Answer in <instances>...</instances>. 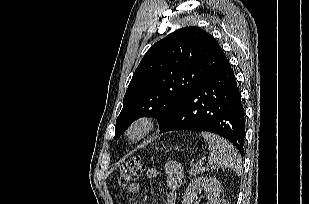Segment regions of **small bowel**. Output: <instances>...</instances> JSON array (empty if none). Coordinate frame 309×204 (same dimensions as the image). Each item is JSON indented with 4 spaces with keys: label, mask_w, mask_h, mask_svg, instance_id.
<instances>
[{
    "label": "small bowel",
    "mask_w": 309,
    "mask_h": 204,
    "mask_svg": "<svg viewBox=\"0 0 309 204\" xmlns=\"http://www.w3.org/2000/svg\"><path fill=\"white\" fill-rule=\"evenodd\" d=\"M166 175H167L166 184L168 189L170 190V193L166 199V204H175L174 192L181 185L184 176V171L181 164L177 161H169L166 164ZM147 176L149 178H157L160 176V171L156 168H150L147 171ZM138 187H139L138 184H133L128 188V191L135 192L138 190Z\"/></svg>",
    "instance_id": "obj_1"
}]
</instances>
